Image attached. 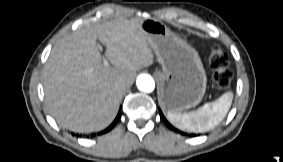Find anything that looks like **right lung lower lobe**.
<instances>
[{
    "label": "right lung lower lobe",
    "mask_w": 283,
    "mask_h": 162,
    "mask_svg": "<svg viewBox=\"0 0 283 162\" xmlns=\"http://www.w3.org/2000/svg\"><path fill=\"white\" fill-rule=\"evenodd\" d=\"M119 117H120V113L117 114L114 122L106 129V131H109L114 127L115 123L119 120Z\"/></svg>",
    "instance_id": "1"
}]
</instances>
